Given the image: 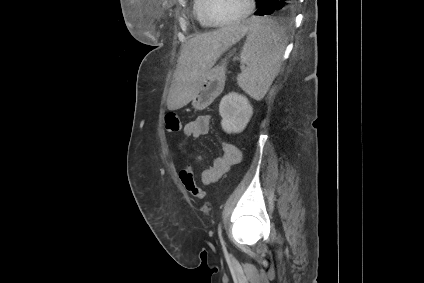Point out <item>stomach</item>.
Returning a JSON list of instances; mask_svg holds the SVG:
<instances>
[{"mask_svg": "<svg viewBox=\"0 0 424 283\" xmlns=\"http://www.w3.org/2000/svg\"><path fill=\"white\" fill-rule=\"evenodd\" d=\"M225 64L226 63H223L220 66H216L215 68L209 70V72L206 74L198 91L196 92L195 97L192 99V105L195 108L201 109L204 106V104L201 102V98L208 92L213 83L216 82L218 74L224 71Z\"/></svg>", "mask_w": 424, "mask_h": 283, "instance_id": "0dacf381", "label": "stomach"}]
</instances>
